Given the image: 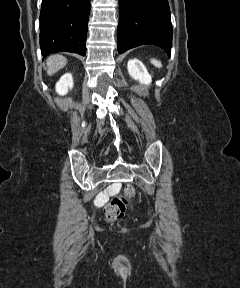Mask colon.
Returning <instances> with one entry per match:
<instances>
[{"label": "colon", "mask_w": 240, "mask_h": 288, "mask_svg": "<svg viewBox=\"0 0 240 288\" xmlns=\"http://www.w3.org/2000/svg\"><path fill=\"white\" fill-rule=\"evenodd\" d=\"M136 191L133 186H126L124 193L113 198L105 209L104 214L107 220L116 221L123 217L126 208L135 198Z\"/></svg>", "instance_id": "5ec220e1"}]
</instances>
